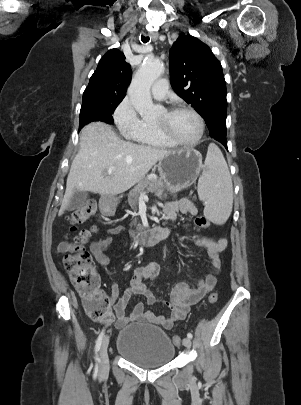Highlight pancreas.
I'll return each instance as SVG.
<instances>
[{"mask_svg":"<svg viewBox=\"0 0 301 405\" xmlns=\"http://www.w3.org/2000/svg\"><path fill=\"white\" fill-rule=\"evenodd\" d=\"M151 192L155 193L156 196L162 198H166L167 195L165 192V185L161 179H157L155 177H148L142 181H140L129 193L128 195V202L131 208L136 209L138 200L142 192ZM131 228L134 229L130 230V235L134 236L135 234H139L143 231V226L135 219L131 224Z\"/></svg>","mask_w":301,"mask_h":405,"instance_id":"cf45deb5","label":"pancreas"}]
</instances>
